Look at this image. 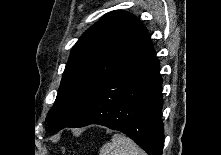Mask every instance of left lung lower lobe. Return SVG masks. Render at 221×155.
<instances>
[{
  "label": "left lung lower lobe",
  "instance_id": "0a47b994",
  "mask_svg": "<svg viewBox=\"0 0 221 155\" xmlns=\"http://www.w3.org/2000/svg\"><path fill=\"white\" fill-rule=\"evenodd\" d=\"M162 78L150 40L119 66L66 127L99 124L133 139L149 155H162Z\"/></svg>",
  "mask_w": 221,
  "mask_h": 155
}]
</instances>
